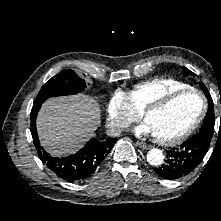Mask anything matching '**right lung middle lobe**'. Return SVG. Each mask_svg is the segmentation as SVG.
I'll use <instances>...</instances> for the list:
<instances>
[{"label":"right lung middle lobe","mask_w":221,"mask_h":221,"mask_svg":"<svg viewBox=\"0 0 221 221\" xmlns=\"http://www.w3.org/2000/svg\"><path fill=\"white\" fill-rule=\"evenodd\" d=\"M85 87V80H82L73 70H65L52 77L41 88L35 100L80 93Z\"/></svg>","instance_id":"obj_1"}]
</instances>
